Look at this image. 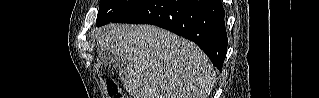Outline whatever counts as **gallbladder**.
I'll return each mask as SVG.
<instances>
[{"label":"gallbladder","instance_id":"obj_1","mask_svg":"<svg viewBox=\"0 0 319 98\" xmlns=\"http://www.w3.org/2000/svg\"><path fill=\"white\" fill-rule=\"evenodd\" d=\"M99 56L101 58V61L104 65L106 66H113L115 65L122 66L123 65V60L117 55L112 54L109 50L106 49H101L99 51Z\"/></svg>","mask_w":319,"mask_h":98}]
</instances>
